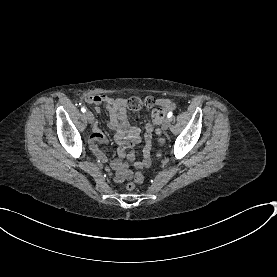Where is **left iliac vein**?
Instances as JSON below:
<instances>
[{"label":"left iliac vein","mask_w":277,"mask_h":277,"mask_svg":"<svg viewBox=\"0 0 277 277\" xmlns=\"http://www.w3.org/2000/svg\"><path fill=\"white\" fill-rule=\"evenodd\" d=\"M169 126H170V119L169 118H165L163 120V123H162V128L164 130H167L169 128Z\"/></svg>","instance_id":"obj_1"}]
</instances>
